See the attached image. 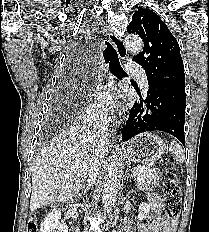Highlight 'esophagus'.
Segmentation results:
<instances>
[{
  "instance_id": "obj_1",
  "label": "esophagus",
  "mask_w": 209,
  "mask_h": 232,
  "mask_svg": "<svg viewBox=\"0 0 209 232\" xmlns=\"http://www.w3.org/2000/svg\"><path fill=\"white\" fill-rule=\"evenodd\" d=\"M109 39L111 43L113 44V46L115 47L119 58L121 60H124L127 57V49L124 44V41L120 37L115 35L114 33H111L109 35ZM112 131L115 132V124H113Z\"/></svg>"
}]
</instances>
